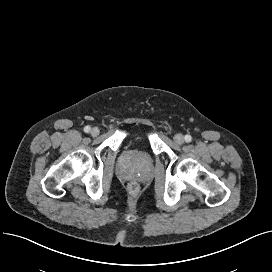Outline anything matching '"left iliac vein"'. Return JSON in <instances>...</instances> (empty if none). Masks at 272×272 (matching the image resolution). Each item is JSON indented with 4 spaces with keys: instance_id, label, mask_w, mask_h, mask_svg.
<instances>
[{
    "instance_id": "left-iliac-vein-1",
    "label": "left iliac vein",
    "mask_w": 272,
    "mask_h": 272,
    "mask_svg": "<svg viewBox=\"0 0 272 272\" xmlns=\"http://www.w3.org/2000/svg\"><path fill=\"white\" fill-rule=\"evenodd\" d=\"M174 142L179 145L182 144L184 142V136L182 134H176L174 136Z\"/></svg>"
}]
</instances>
